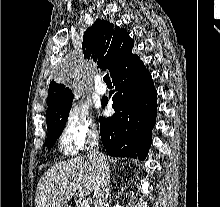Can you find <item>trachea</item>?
Masks as SVG:
<instances>
[{
	"label": "trachea",
	"mask_w": 220,
	"mask_h": 207,
	"mask_svg": "<svg viewBox=\"0 0 220 207\" xmlns=\"http://www.w3.org/2000/svg\"><path fill=\"white\" fill-rule=\"evenodd\" d=\"M103 80L105 83H111V79L109 77V74H106L104 77H103Z\"/></svg>",
	"instance_id": "3493384b"
}]
</instances>
